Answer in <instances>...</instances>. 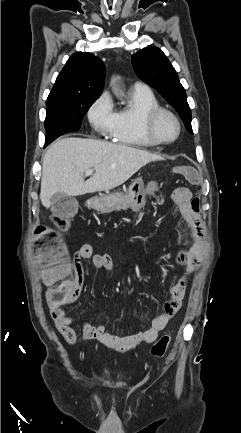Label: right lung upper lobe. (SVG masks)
<instances>
[{
	"mask_svg": "<svg viewBox=\"0 0 241 433\" xmlns=\"http://www.w3.org/2000/svg\"><path fill=\"white\" fill-rule=\"evenodd\" d=\"M105 65L90 53H74L58 75L47 101L97 99L102 93Z\"/></svg>",
	"mask_w": 241,
	"mask_h": 433,
	"instance_id": "cb5924a9",
	"label": "right lung upper lobe"
}]
</instances>
